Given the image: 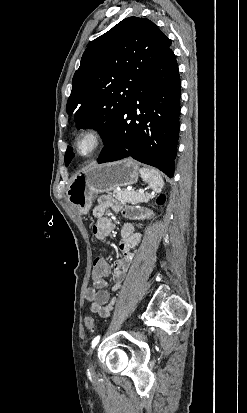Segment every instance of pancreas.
Returning a JSON list of instances; mask_svg holds the SVG:
<instances>
[{
    "instance_id": "1",
    "label": "pancreas",
    "mask_w": 247,
    "mask_h": 413,
    "mask_svg": "<svg viewBox=\"0 0 247 413\" xmlns=\"http://www.w3.org/2000/svg\"><path fill=\"white\" fill-rule=\"evenodd\" d=\"M108 194H112L114 198H117L120 204H126V202H131V204L149 202L150 198L154 196L150 192H133V190H113V192H108Z\"/></svg>"
}]
</instances>
